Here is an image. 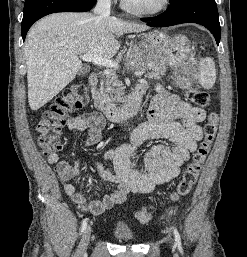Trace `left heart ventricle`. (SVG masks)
Here are the masks:
<instances>
[{
  "label": "left heart ventricle",
  "instance_id": "b2bd125f",
  "mask_svg": "<svg viewBox=\"0 0 247 257\" xmlns=\"http://www.w3.org/2000/svg\"><path fill=\"white\" fill-rule=\"evenodd\" d=\"M128 3L139 8H154L161 0H126Z\"/></svg>",
  "mask_w": 247,
  "mask_h": 257
}]
</instances>
